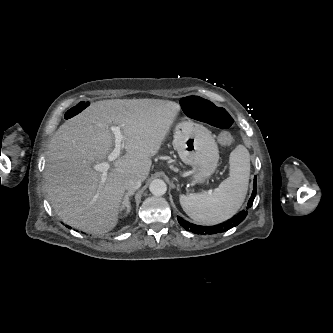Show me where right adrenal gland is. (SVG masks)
<instances>
[{"label": "right adrenal gland", "mask_w": 333, "mask_h": 333, "mask_svg": "<svg viewBox=\"0 0 333 333\" xmlns=\"http://www.w3.org/2000/svg\"><path fill=\"white\" fill-rule=\"evenodd\" d=\"M134 193L133 192H128L125 194L124 196V200L122 201L120 210H124L126 208V215L129 214L130 210H131V205H130V201H129V197L132 196Z\"/></svg>", "instance_id": "1"}]
</instances>
